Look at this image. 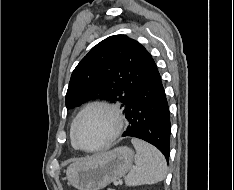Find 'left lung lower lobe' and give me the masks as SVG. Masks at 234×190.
<instances>
[{
  "instance_id": "1",
  "label": "left lung lower lobe",
  "mask_w": 234,
  "mask_h": 190,
  "mask_svg": "<svg viewBox=\"0 0 234 190\" xmlns=\"http://www.w3.org/2000/svg\"><path fill=\"white\" fill-rule=\"evenodd\" d=\"M146 78L125 109L129 126L123 136L136 137L157 147L169 159L170 113L154 60L145 49Z\"/></svg>"
}]
</instances>
